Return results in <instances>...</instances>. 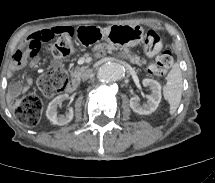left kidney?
I'll return each mask as SVG.
<instances>
[{
	"label": "left kidney",
	"mask_w": 215,
	"mask_h": 183,
	"mask_svg": "<svg viewBox=\"0 0 215 183\" xmlns=\"http://www.w3.org/2000/svg\"><path fill=\"white\" fill-rule=\"evenodd\" d=\"M143 86H149L151 93L146 96L147 103L141 105L138 98L132 97L130 99L131 109L138 114L148 115L154 112L161 101V85L153 79L145 78L142 81Z\"/></svg>",
	"instance_id": "1"
}]
</instances>
